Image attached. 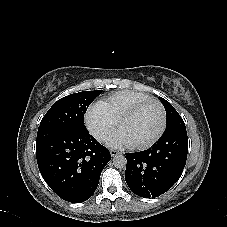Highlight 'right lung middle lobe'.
I'll use <instances>...</instances> for the list:
<instances>
[{
    "instance_id": "1",
    "label": "right lung middle lobe",
    "mask_w": 227,
    "mask_h": 227,
    "mask_svg": "<svg viewBox=\"0 0 227 227\" xmlns=\"http://www.w3.org/2000/svg\"><path fill=\"white\" fill-rule=\"evenodd\" d=\"M102 92L83 91L59 99L48 110L40 122L39 127H57L68 129H82L84 114L91 102Z\"/></svg>"
}]
</instances>
